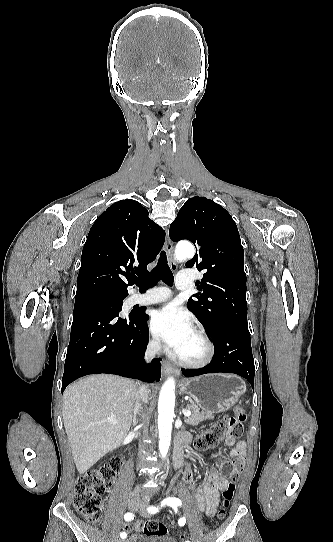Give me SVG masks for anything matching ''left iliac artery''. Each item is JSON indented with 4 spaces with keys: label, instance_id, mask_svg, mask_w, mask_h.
Masks as SVG:
<instances>
[{
    "label": "left iliac artery",
    "instance_id": "obj_1",
    "mask_svg": "<svg viewBox=\"0 0 333 542\" xmlns=\"http://www.w3.org/2000/svg\"><path fill=\"white\" fill-rule=\"evenodd\" d=\"M181 504H182L181 500H179L178 498H175V497L166 498L161 502V506L169 505V506L173 507L174 505H181ZM148 512L152 513V514H155L156 512H158V508L149 507ZM185 522H186V519L184 517L180 518L179 521H178L180 526H183L185 524ZM186 542H190V541H186Z\"/></svg>",
    "mask_w": 333,
    "mask_h": 542
}]
</instances>
